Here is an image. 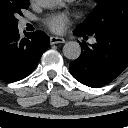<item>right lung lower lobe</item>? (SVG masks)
Masks as SVG:
<instances>
[{
	"label": "right lung lower lobe",
	"mask_w": 128,
	"mask_h": 128,
	"mask_svg": "<svg viewBox=\"0 0 128 128\" xmlns=\"http://www.w3.org/2000/svg\"><path fill=\"white\" fill-rule=\"evenodd\" d=\"M21 38L18 28L0 32V79L15 82L27 77L36 68L49 47V37L41 31Z\"/></svg>",
	"instance_id": "right-lung-lower-lobe-1"
}]
</instances>
